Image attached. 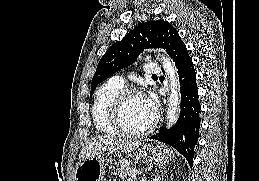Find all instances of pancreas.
Returning a JSON list of instances; mask_svg holds the SVG:
<instances>
[{
  "label": "pancreas",
  "instance_id": "1",
  "mask_svg": "<svg viewBox=\"0 0 259 181\" xmlns=\"http://www.w3.org/2000/svg\"><path fill=\"white\" fill-rule=\"evenodd\" d=\"M139 174V170L136 168H120L119 170L114 172L116 177L121 178L123 181L129 177H133Z\"/></svg>",
  "mask_w": 259,
  "mask_h": 181
}]
</instances>
